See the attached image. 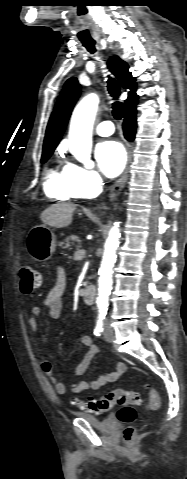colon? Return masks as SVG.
Segmentation results:
<instances>
[{
    "label": "colon",
    "mask_w": 187,
    "mask_h": 479,
    "mask_svg": "<svg viewBox=\"0 0 187 479\" xmlns=\"http://www.w3.org/2000/svg\"><path fill=\"white\" fill-rule=\"evenodd\" d=\"M18 274L20 289L23 293L33 292L42 283L41 273L29 265H21ZM140 403L141 400L137 390L113 389L102 398L79 401L76 402V405L83 411L95 414H102L114 406H118L120 408L117 413L118 419L128 425L124 430V437L127 441H131L135 436V429L131 426L136 419L134 406ZM159 404L158 393L153 388H149L148 407L157 409Z\"/></svg>",
    "instance_id": "colon-1"
}]
</instances>
